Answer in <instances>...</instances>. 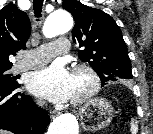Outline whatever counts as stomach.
I'll use <instances>...</instances> for the list:
<instances>
[{
  "label": "stomach",
  "mask_w": 153,
  "mask_h": 134,
  "mask_svg": "<svg viewBox=\"0 0 153 134\" xmlns=\"http://www.w3.org/2000/svg\"><path fill=\"white\" fill-rule=\"evenodd\" d=\"M81 126L84 130L95 132L106 128L113 119V107L103 98L87 101L79 110Z\"/></svg>",
  "instance_id": "obj_1"
}]
</instances>
